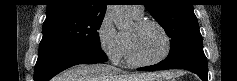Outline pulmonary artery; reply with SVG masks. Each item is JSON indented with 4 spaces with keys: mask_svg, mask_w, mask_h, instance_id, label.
I'll return each instance as SVG.
<instances>
[{
    "mask_svg": "<svg viewBox=\"0 0 237 81\" xmlns=\"http://www.w3.org/2000/svg\"><path fill=\"white\" fill-rule=\"evenodd\" d=\"M129 11L134 16H142L143 15V9L141 6H128Z\"/></svg>",
    "mask_w": 237,
    "mask_h": 81,
    "instance_id": "e3ab8cb5",
    "label": "pulmonary artery"
}]
</instances>
